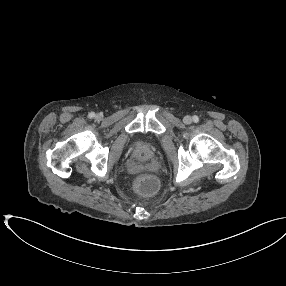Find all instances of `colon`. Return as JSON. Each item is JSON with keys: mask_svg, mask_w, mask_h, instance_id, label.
<instances>
[{"mask_svg": "<svg viewBox=\"0 0 286 286\" xmlns=\"http://www.w3.org/2000/svg\"><path fill=\"white\" fill-rule=\"evenodd\" d=\"M135 188L140 194L151 195L158 189V182L152 175H142L137 179Z\"/></svg>", "mask_w": 286, "mask_h": 286, "instance_id": "1", "label": "colon"}]
</instances>
